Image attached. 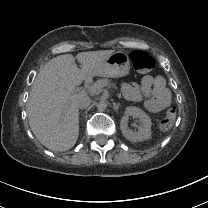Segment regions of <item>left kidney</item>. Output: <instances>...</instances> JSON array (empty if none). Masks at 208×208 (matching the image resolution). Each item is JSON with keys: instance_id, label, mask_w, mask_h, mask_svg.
Masks as SVG:
<instances>
[{"instance_id": "obj_1", "label": "left kidney", "mask_w": 208, "mask_h": 208, "mask_svg": "<svg viewBox=\"0 0 208 208\" xmlns=\"http://www.w3.org/2000/svg\"><path fill=\"white\" fill-rule=\"evenodd\" d=\"M129 116L134 119H139L141 126L138 127V131L134 132L128 128ZM120 129L125 138L133 142H141L148 140L151 136V122L150 118L137 107H127L124 115L121 118Z\"/></svg>"}]
</instances>
